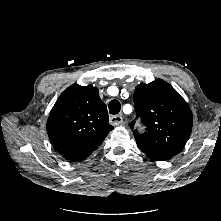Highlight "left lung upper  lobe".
Listing matches in <instances>:
<instances>
[{"instance_id": "left-lung-upper-lobe-1", "label": "left lung upper lobe", "mask_w": 221, "mask_h": 221, "mask_svg": "<svg viewBox=\"0 0 221 221\" xmlns=\"http://www.w3.org/2000/svg\"><path fill=\"white\" fill-rule=\"evenodd\" d=\"M137 118L146 131L134 136L139 149L151 160H166L185 146L192 129V112L185 100L167 82L156 79L139 84L133 97ZM135 121L129 126L134 128Z\"/></svg>"}]
</instances>
